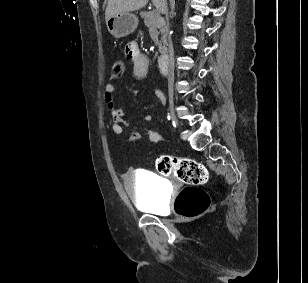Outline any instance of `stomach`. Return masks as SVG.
Returning <instances> with one entry per match:
<instances>
[{
  "mask_svg": "<svg viewBox=\"0 0 308 283\" xmlns=\"http://www.w3.org/2000/svg\"><path fill=\"white\" fill-rule=\"evenodd\" d=\"M109 33L115 38L131 34L138 26V18L130 12L117 13L106 21Z\"/></svg>",
  "mask_w": 308,
  "mask_h": 283,
  "instance_id": "obj_1",
  "label": "stomach"
}]
</instances>
